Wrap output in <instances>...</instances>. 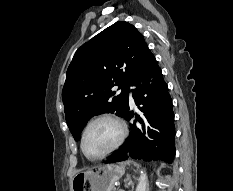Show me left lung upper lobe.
Wrapping results in <instances>:
<instances>
[{
    "label": "left lung upper lobe",
    "mask_w": 233,
    "mask_h": 191,
    "mask_svg": "<svg viewBox=\"0 0 233 191\" xmlns=\"http://www.w3.org/2000/svg\"><path fill=\"white\" fill-rule=\"evenodd\" d=\"M150 53L138 30L122 21L76 51L62 91L66 122L75 140L94 115L116 111L124 116L130 82ZM116 85L122 90L118 95L111 90Z\"/></svg>",
    "instance_id": "left-lung-upper-lobe-1"
}]
</instances>
